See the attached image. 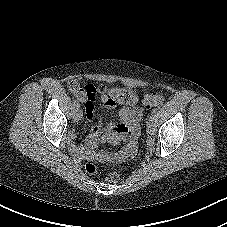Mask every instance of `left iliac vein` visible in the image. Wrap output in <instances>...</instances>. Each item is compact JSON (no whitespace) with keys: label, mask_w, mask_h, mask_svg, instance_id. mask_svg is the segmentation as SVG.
<instances>
[{"label":"left iliac vein","mask_w":227,"mask_h":227,"mask_svg":"<svg viewBox=\"0 0 227 227\" xmlns=\"http://www.w3.org/2000/svg\"><path fill=\"white\" fill-rule=\"evenodd\" d=\"M155 123H154V118L153 117H149V119L147 120V132L151 135H153L155 133Z\"/></svg>","instance_id":"left-iliac-vein-1"}]
</instances>
